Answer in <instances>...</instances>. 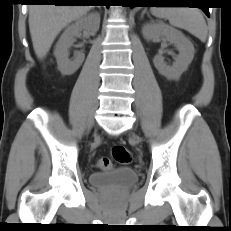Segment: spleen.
Returning <instances> with one entry per match:
<instances>
[{
    "label": "spleen",
    "mask_w": 231,
    "mask_h": 231,
    "mask_svg": "<svg viewBox=\"0 0 231 231\" xmlns=\"http://www.w3.org/2000/svg\"><path fill=\"white\" fill-rule=\"evenodd\" d=\"M151 12L156 17L168 19L171 25L188 31L202 42L206 41L207 25L199 9L189 7H153Z\"/></svg>",
    "instance_id": "obj_1"
}]
</instances>
